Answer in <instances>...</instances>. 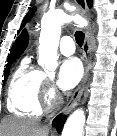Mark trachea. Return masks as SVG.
<instances>
[{
  "mask_svg": "<svg viewBox=\"0 0 117 136\" xmlns=\"http://www.w3.org/2000/svg\"><path fill=\"white\" fill-rule=\"evenodd\" d=\"M84 33L82 31H76L75 32V39H76V42L79 46H82L83 45V42H84Z\"/></svg>",
  "mask_w": 117,
  "mask_h": 136,
  "instance_id": "1",
  "label": "trachea"
}]
</instances>
